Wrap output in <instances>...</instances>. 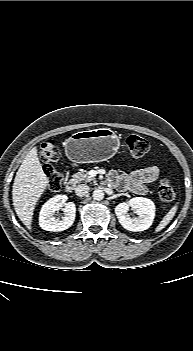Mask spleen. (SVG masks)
<instances>
[{"instance_id":"obj_1","label":"spleen","mask_w":193,"mask_h":351,"mask_svg":"<svg viewBox=\"0 0 193 351\" xmlns=\"http://www.w3.org/2000/svg\"><path fill=\"white\" fill-rule=\"evenodd\" d=\"M178 209L177 204L174 205L170 211L163 217V219L161 220V222L159 223V225L156 227L155 232H159L162 229H164L169 223L170 221L173 219V217L176 214V211Z\"/></svg>"}]
</instances>
